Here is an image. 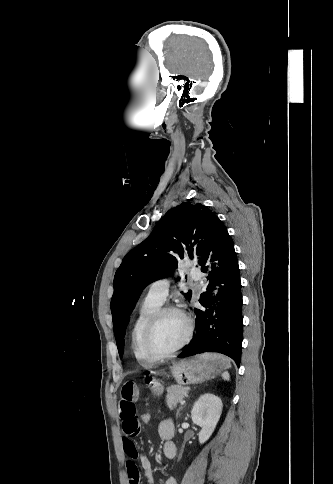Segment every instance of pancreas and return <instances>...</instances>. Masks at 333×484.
Here are the masks:
<instances>
[{"label":"pancreas","instance_id":"pancreas-1","mask_svg":"<svg viewBox=\"0 0 333 484\" xmlns=\"http://www.w3.org/2000/svg\"><path fill=\"white\" fill-rule=\"evenodd\" d=\"M188 393L187 387L181 385H171L167 388L166 404L172 408L181 402Z\"/></svg>","mask_w":333,"mask_h":484}]
</instances>
